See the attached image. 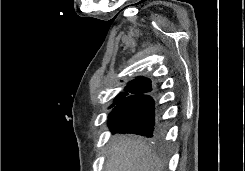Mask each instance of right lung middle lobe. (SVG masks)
<instances>
[{
    "label": "right lung middle lobe",
    "mask_w": 245,
    "mask_h": 171,
    "mask_svg": "<svg viewBox=\"0 0 245 171\" xmlns=\"http://www.w3.org/2000/svg\"><path fill=\"white\" fill-rule=\"evenodd\" d=\"M114 105H115V104H114ZM114 105H111L110 108L113 107Z\"/></svg>",
    "instance_id": "1"
}]
</instances>
